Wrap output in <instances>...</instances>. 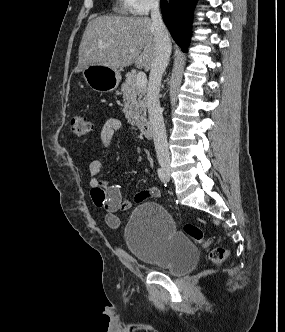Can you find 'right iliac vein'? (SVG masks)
I'll return each mask as SVG.
<instances>
[{"instance_id":"1","label":"right iliac vein","mask_w":285,"mask_h":332,"mask_svg":"<svg viewBox=\"0 0 285 332\" xmlns=\"http://www.w3.org/2000/svg\"><path fill=\"white\" fill-rule=\"evenodd\" d=\"M162 167H163L164 171L169 172V167L167 165H163Z\"/></svg>"}]
</instances>
